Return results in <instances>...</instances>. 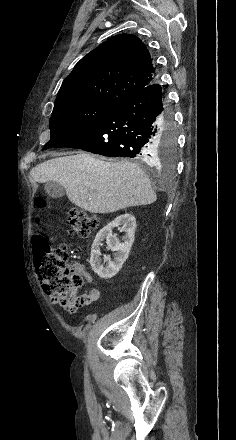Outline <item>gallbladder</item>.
<instances>
[{
  "label": "gallbladder",
  "instance_id": "gallbladder-1",
  "mask_svg": "<svg viewBox=\"0 0 236 440\" xmlns=\"http://www.w3.org/2000/svg\"><path fill=\"white\" fill-rule=\"evenodd\" d=\"M44 189L48 196L54 199L61 198L65 195V188L61 184L54 181L46 182Z\"/></svg>",
  "mask_w": 236,
  "mask_h": 440
}]
</instances>
